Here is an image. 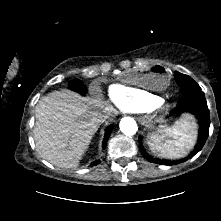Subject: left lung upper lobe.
I'll list each match as a JSON object with an SVG mask.
<instances>
[{"label": "left lung upper lobe", "instance_id": "obj_1", "mask_svg": "<svg viewBox=\"0 0 221 221\" xmlns=\"http://www.w3.org/2000/svg\"><path fill=\"white\" fill-rule=\"evenodd\" d=\"M175 78L177 84L180 86V91L182 95L193 94L201 91L200 86L189 76L176 72Z\"/></svg>", "mask_w": 221, "mask_h": 221}]
</instances>
